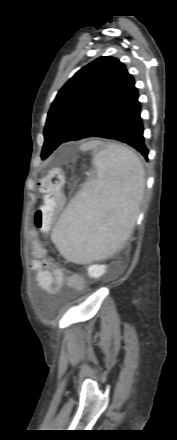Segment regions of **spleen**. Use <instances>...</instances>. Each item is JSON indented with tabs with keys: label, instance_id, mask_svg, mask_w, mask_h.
<instances>
[{
	"label": "spleen",
	"instance_id": "3e777b00",
	"mask_svg": "<svg viewBox=\"0 0 177 440\" xmlns=\"http://www.w3.org/2000/svg\"><path fill=\"white\" fill-rule=\"evenodd\" d=\"M96 177L70 201L51 239L65 259L90 263L118 251L134 227L144 169L133 151L110 145L94 156Z\"/></svg>",
	"mask_w": 177,
	"mask_h": 440
}]
</instances>
